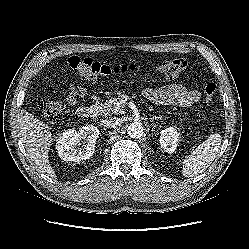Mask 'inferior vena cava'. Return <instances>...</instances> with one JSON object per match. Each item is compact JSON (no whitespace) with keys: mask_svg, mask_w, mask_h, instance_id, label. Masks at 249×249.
Wrapping results in <instances>:
<instances>
[{"mask_svg":"<svg viewBox=\"0 0 249 249\" xmlns=\"http://www.w3.org/2000/svg\"><path fill=\"white\" fill-rule=\"evenodd\" d=\"M101 124L106 128H115L120 125V121L117 118H106L101 121Z\"/></svg>","mask_w":249,"mask_h":249,"instance_id":"obj_1","label":"inferior vena cava"}]
</instances>
